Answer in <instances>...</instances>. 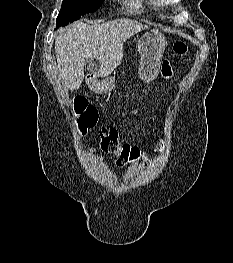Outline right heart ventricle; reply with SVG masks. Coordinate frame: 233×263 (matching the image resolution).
<instances>
[{"mask_svg": "<svg viewBox=\"0 0 233 263\" xmlns=\"http://www.w3.org/2000/svg\"><path fill=\"white\" fill-rule=\"evenodd\" d=\"M140 0H132L131 1V7L133 8V9H139L140 7H141V5H140V2H139Z\"/></svg>", "mask_w": 233, "mask_h": 263, "instance_id": "e07e8e85", "label": "right heart ventricle"}]
</instances>
